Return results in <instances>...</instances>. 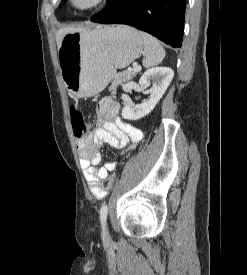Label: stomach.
<instances>
[{
    "label": "stomach",
    "mask_w": 247,
    "mask_h": 275,
    "mask_svg": "<svg viewBox=\"0 0 247 275\" xmlns=\"http://www.w3.org/2000/svg\"><path fill=\"white\" fill-rule=\"evenodd\" d=\"M143 46L138 31L125 25L96 26L66 34L58 50L65 87L73 98L100 93L117 69L140 57Z\"/></svg>",
    "instance_id": "1"
}]
</instances>
